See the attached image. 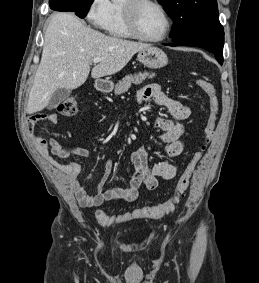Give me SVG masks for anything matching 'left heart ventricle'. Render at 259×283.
<instances>
[{
  "instance_id": "left-heart-ventricle-1",
  "label": "left heart ventricle",
  "mask_w": 259,
  "mask_h": 283,
  "mask_svg": "<svg viewBox=\"0 0 259 283\" xmlns=\"http://www.w3.org/2000/svg\"><path fill=\"white\" fill-rule=\"evenodd\" d=\"M138 20L141 31L148 37L159 38L165 33L166 19L156 6L144 5L139 11Z\"/></svg>"
}]
</instances>
